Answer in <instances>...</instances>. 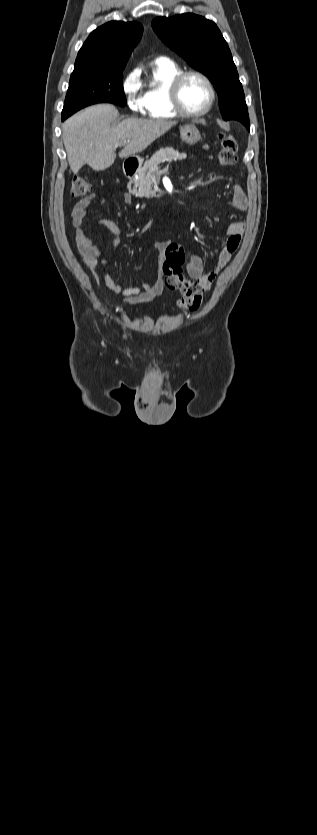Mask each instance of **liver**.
<instances>
[{"label":"liver","instance_id":"liver-1","mask_svg":"<svg viewBox=\"0 0 317 835\" xmlns=\"http://www.w3.org/2000/svg\"><path fill=\"white\" fill-rule=\"evenodd\" d=\"M118 116L113 105L98 104L74 114L63 123L62 138L72 172L76 174L86 163L96 171L105 170L114 163L120 144H125L119 152L120 158L135 155L177 124L175 121L137 118L113 124Z\"/></svg>","mask_w":317,"mask_h":835}]
</instances>
